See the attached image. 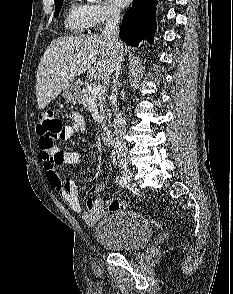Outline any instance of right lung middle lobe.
Returning a JSON list of instances; mask_svg holds the SVG:
<instances>
[{"label": "right lung middle lobe", "mask_w": 233, "mask_h": 294, "mask_svg": "<svg viewBox=\"0 0 233 294\" xmlns=\"http://www.w3.org/2000/svg\"><path fill=\"white\" fill-rule=\"evenodd\" d=\"M55 5H56V9H55L54 17H56L59 14L61 7L63 5V0H55Z\"/></svg>", "instance_id": "dd1d6c3e"}]
</instances>
